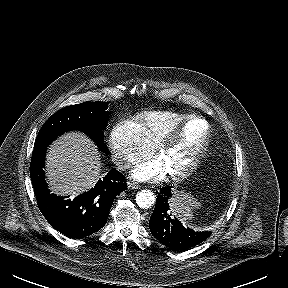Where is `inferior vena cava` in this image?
<instances>
[{"label": "inferior vena cava", "mask_w": 288, "mask_h": 288, "mask_svg": "<svg viewBox=\"0 0 288 288\" xmlns=\"http://www.w3.org/2000/svg\"><path fill=\"white\" fill-rule=\"evenodd\" d=\"M130 164L129 163H122V165H119L120 169H123V168H126V167H129Z\"/></svg>", "instance_id": "1"}]
</instances>
